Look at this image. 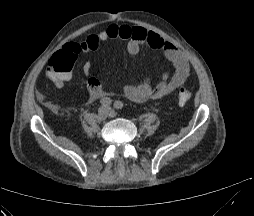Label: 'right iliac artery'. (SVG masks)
Masks as SVG:
<instances>
[{"mask_svg":"<svg viewBox=\"0 0 254 216\" xmlns=\"http://www.w3.org/2000/svg\"><path fill=\"white\" fill-rule=\"evenodd\" d=\"M101 105L103 106H109L112 103V100L110 98H103L100 100Z\"/></svg>","mask_w":254,"mask_h":216,"instance_id":"82829eb1","label":"right iliac artery"}]
</instances>
